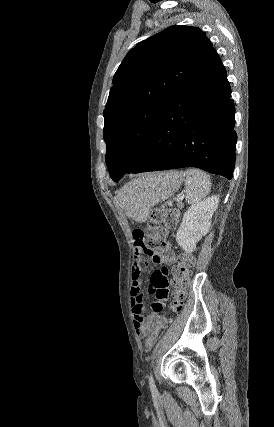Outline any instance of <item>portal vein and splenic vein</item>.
<instances>
[{
  "instance_id": "1",
  "label": "portal vein and splenic vein",
  "mask_w": 274,
  "mask_h": 427,
  "mask_svg": "<svg viewBox=\"0 0 274 427\" xmlns=\"http://www.w3.org/2000/svg\"><path fill=\"white\" fill-rule=\"evenodd\" d=\"M178 200H182V196H181V198H178Z\"/></svg>"
}]
</instances>
